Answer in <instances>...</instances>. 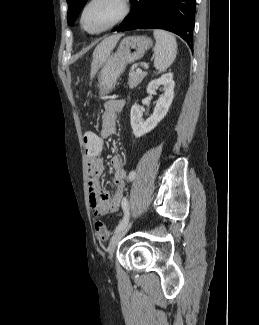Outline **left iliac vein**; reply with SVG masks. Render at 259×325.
Returning <instances> with one entry per match:
<instances>
[{
	"mask_svg": "<svg viewBox=\"0 0 259 325\" xmlns=\"http://www.w3.org/2000/svg\"><path fill=\"white\" fill-rule=\"evenodd\" d=\"M130 227H131V223H127L121 230L117 231L110 239L109 246L107 249L110 260H112L113 253L118 243L123 238V236L127 233Z\"/></svg>",
	"mask_w": 259,
	"mask_h": 325,
	"instance_id": "left-iliac-vein-1",
	"label": "left iliac vein"
}]
</instances>
